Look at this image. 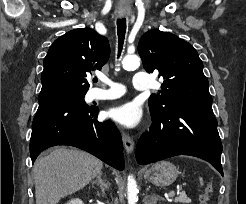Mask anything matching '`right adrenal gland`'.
<instances>
[{
	"instance_id": "obj_1",
	"label": "right adrenal gland",
	"mask_w": 246,
	"mask_h": 204,
	"mask_svg": "<svg viewBox=\"0 0 246 204\" xmlns=\"http://www.w3.org/2000/svg\"><path fill=\"white\" fill-rule=\"evenodd\" d=\"M93 185H98L101 194H98V196L104 197L106 195V190L109 189V182L104 179V175L102 172H100L95 180L92 181Z\"/></svg>"
}]
</instances>
